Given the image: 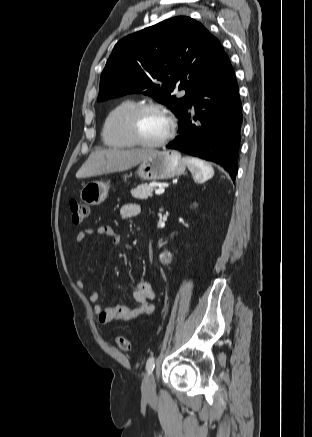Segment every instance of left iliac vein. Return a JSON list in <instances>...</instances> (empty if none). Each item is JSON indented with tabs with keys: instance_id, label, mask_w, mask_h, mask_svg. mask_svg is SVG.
<instances>
[{
	"instance_id": "obj_1",
	"label": "left iliac vein",
	"mask_w": 312,
	"mask_h": 437,
	"mask_svg": "<svg viewBox=\"0 0 312 437\" xmlns=\"http://www.w3.org/2000/svg\"><path fill=\"white\" fill-rule=\"evenodd\" d=\"M142 394L147 398H153L156 394L155 377L152 373L147 375L143 381Z\"/></svg>"
}]
</instances>
